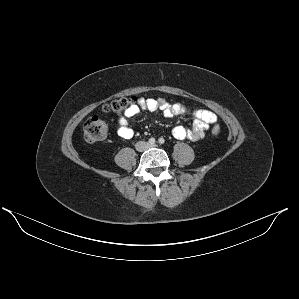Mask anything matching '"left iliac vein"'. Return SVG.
Instances as JSON below:
<instances>
[{"instance_id": "4c4485c4", "label": "left iliac vein", "mask_w": 299, "mask_h": 299, "mask_svg": "<svg viewBox=\"0 0 299 299\" xmlns=\"http://www.w3.org/2000/svg\"><path fill=\"white\" fill-rule=\"evenodd\" d=\"M152 147H157V145L156 144L148 145V148H152Z\"/></svg>"}]
</instances>
